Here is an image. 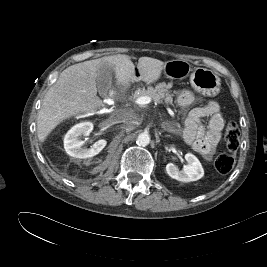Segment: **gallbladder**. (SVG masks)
I'll return each mask as SVG.
<instances>
[{"label": "gallbladder", "mask_w": 267, "mask_h": 267, "mask_svg": "<svg viewBox=\"0 0 267 267\" xmlns=\"http://www.w3.org/2000/svg\"><path fill=\"white\" fill-rule=\"evenodd\" d=\"M98 84L100 88L107 89L109 85L111 84V77L108 75L106 79L99 80Z\"/></svg>", "instance_id": "1"}]
</instances>
